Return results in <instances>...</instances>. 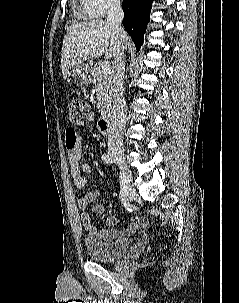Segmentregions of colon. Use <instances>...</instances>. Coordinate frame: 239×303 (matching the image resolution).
<instances>
[{
  "instance_id": "colon-1",
  "label": "colon",
  "mask_w": 239,
  "mask_h": 303,
  "mask_svg": "<svg viewBox=\"0 0 239 303\" xmlns=\"http://www.w3.org/2000/svg\"><path fill=\"white\" fill-rule=\"evenodd\" d=\"M68 109V118L69 121L72 123H77L80 120L88 117V115L90 114L88 104L81 97L78 96H74L69 100Z\"/></svg>"
}]
</instances>
